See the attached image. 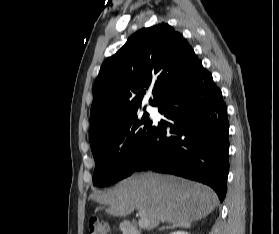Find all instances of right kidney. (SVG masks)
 <instances>
[{
  "mask_svg": "<svg viewBox=\"0 0 279 234\" xmlns=\"http://www.w3.org/2000/svg\"><path fill=\"white\" fill-rule=\"evenodd\" d=\"M170 234H189V233L185 232V231H175V232H172Z\"/></svg>",
  "mask_w": 279,
  "mask_h": 234,
  "instance_id": "ca27d5eb",
  "label": "right kidney"
}]
</instances>
